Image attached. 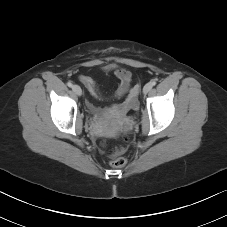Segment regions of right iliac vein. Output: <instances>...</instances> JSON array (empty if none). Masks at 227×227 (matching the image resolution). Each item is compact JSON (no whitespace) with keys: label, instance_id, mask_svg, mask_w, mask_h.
<instances>
[{"label":"right iliac vein","instance_id":"1","mask_svg":"<svg viewBox=\"0 0 227 227\" xmlns=\"http://www.w3.org/2000/svg\"><path fill=\"white\" fill-rule=\"evenodd\" d=\"M72 90L74 91V93L78 96L82 95V89L80 88V86L78 85H73Z\"/></svg>","mask_w":227,"mask_h":227}]
</instances>
